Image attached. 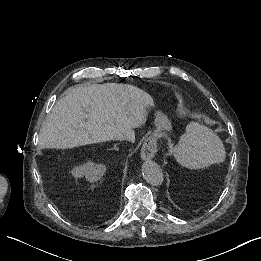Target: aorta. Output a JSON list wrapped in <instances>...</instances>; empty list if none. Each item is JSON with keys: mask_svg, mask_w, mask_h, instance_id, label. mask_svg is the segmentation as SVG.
<instances>
[{"mask_svg": "<svg viewBox=\"0 0 261 261\" xmlns=\"http://www.w3.org/2000/svg\"><path fill=\"white\" fill-rule=\"evenodd\" d=\"M142 174L144 179L152 185H161L164 180L163 172L160 166L154 161H146L142 165Z\"/></svg>", "mask_w": 261, "mask_h": 261, "instance_id": "762f6f07", "label": "aorta"}]
</instances>
